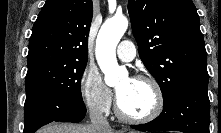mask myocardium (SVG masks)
I'll return each mask as SVG.
<instances>
[{
	"mask_svg": "<svg viewBox=\"0 0 221 133\" xmlns=\"http://www.w3.org/2000/svg\"><path fill=\"white\" fill-rule=\"evenodd\" d=\"M133 79L144 81L151 85L155 97L154 106L152 110L146 115L143 116L128 115L122 110L119 97L117 96L116 107H115V112L117 117L125 122L135 123V124H143L155 120L162 113L164 108V94L161 85L154 77L150 75L139 74L136 75Z\"/></svg>",
	"mask_w": 221,
	"mask_h": 133,
	"instance_id": "myocardium-1",
	"label": "myocardium"
}]
</instances>
